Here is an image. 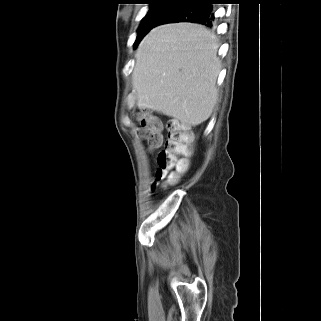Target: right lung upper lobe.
Returning a JSON list of instances; mask_svg holds the SVG:
<instances>
[{
  "label": "right lung upper lobe",
  "mask_w": 321,
  "mask_h": 321,
  "mask_svg": "<svg viewBox=\"0 0 321 321\" xmlns=\"http://www.w3.org/2000/svg\"><path fill=\"white\" fill-rule=\"evenodd\" d=\"M148 1L154 2V1H161V0H148ZM169 1L175 2L174 5H181V4H184V3L189 2L191 0H169Z\"/></svg>",
  "instance_id": "right-lung-upper-lobe-1"
}]
</instances>
